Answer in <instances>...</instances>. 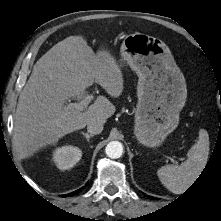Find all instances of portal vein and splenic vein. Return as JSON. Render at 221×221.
Returning a JSON list of instances; mask_svg holds the SVG:
<instances>
[{
    "mask_svg": "<svg viewBox=\"0 0 221 221\" xmlns=\"http://www.w3.org/2000/svg\"><path fill=\"white\" fill-rule=\"evenodd\" d=\"M93 95H87L82 99L79 103H69L67 104L68 109H76L78 111L86 110L89 103L92 101ZM168 159H170L172 162H174V159L170 156H167Z\"/></svg>",
    "mask_w": 221,
    "mask_h": 221,
    "instance_id": "18ae733b",
    "label": "portal vein and splenic vein"
}]
</instances>
